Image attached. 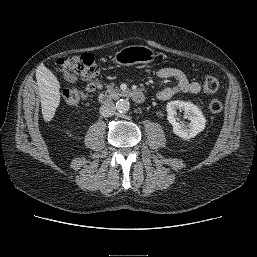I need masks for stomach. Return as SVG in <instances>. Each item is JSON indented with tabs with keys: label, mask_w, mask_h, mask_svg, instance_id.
Returning <instances> with one entry per match:
<instances>
[{
	"label": "stomach",
	"mask_w": 257,
	"mask_h": 257,
	"mask_svg": "<svg viewBox=\"0 0 257 257\" xmlns=\"http://www.w3.org/2000/svg\"><path fill=\"white\" fill-rule=\"evenodd\" d=\"M155 58L151 48L142 45H130L116 52L113 60L120 65L131 66L138 63H150Z\"/></svg>",
	"instance_id": "0dacf381"
}]
</instances>
